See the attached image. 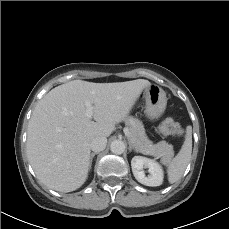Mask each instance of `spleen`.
Returning a JSON list of instances; mask_svg holds the SVG:
<instances>
[{"instance_id": "1", "label": "spleen", "mask_w": 229, "mask_h": 229, "mask_svg": "<svg viewBox=\"0 0 229 229\" xmlns=\"http://www.w3.org/2000/svg\"><path fill=\"white\" fill-rule=\"evenodd\" d=\"M192 130L187 127L185 141L179 151V153L173 158V160L165 163L167 165L168 181L172 184L177 182L183 175L187 165L191 159L192 153Z\"/></svg>"}]
</instances>
